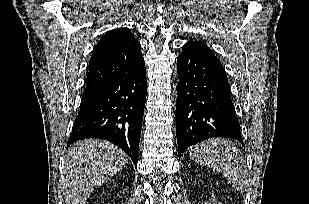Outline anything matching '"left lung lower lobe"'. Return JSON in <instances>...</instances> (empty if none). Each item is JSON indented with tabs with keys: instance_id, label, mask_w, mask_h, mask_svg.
Instances as JSON below:
<instances>
[{
	"instance_id": "1",
	"label": "left lung lower lobe",
	"mask_w": 309,
	"mask_h": 204,
	"mask_svg": "<svg viewBox=\"0 0 309 204\" xmlns=\"http://www.w3.org/2000/svg\"><path fill=\"white\" fill-rule=\"evenodd\" d=\"M177 64L179 157L190 146L212 137L232 138L244 144L222 65L185 45Z\"/></svg>"
}]
</instances>
